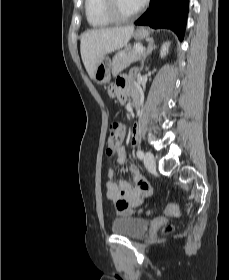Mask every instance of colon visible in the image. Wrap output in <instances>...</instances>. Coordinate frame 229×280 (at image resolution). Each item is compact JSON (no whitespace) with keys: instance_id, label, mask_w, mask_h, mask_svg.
<instances>
[{"instance_id":"obj_1","label":"colon","mask_w":229,"mask_h":280,"mask_svg":"<svg viewBox=\"0 0 229 280\" xmlns=\"http://www.w3.org/2000/svg\"><path fill=\"white\" fill-rule=\"evenodd\" d=\"M124 136V127L120 122H114L110 126V131L106 139V155L109 157L113 154V152L117 149ZM133 202L132 198L122 199L117 201V205L120 207H126L131 205ZM168 213L174 212V207L170 206L167 209Z\"/></svg>"}]
</instances>
